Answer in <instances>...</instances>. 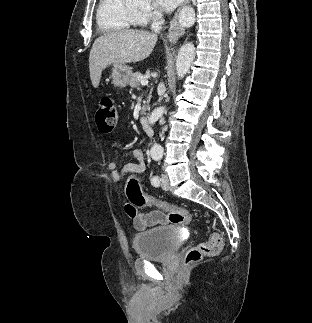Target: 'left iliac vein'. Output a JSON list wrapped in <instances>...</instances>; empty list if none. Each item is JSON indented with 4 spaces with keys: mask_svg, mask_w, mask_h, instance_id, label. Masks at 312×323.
I'll list each match as a JSON object with an SVG mask.
<instances>
[{
    "mask_svg": "<svg viewBox=\"0 0 312 323\" xmlns=\"http://www.w3.org/2000/svg\"><path fill=\"white\" fill-rule=\"evenodd\" d=\"M161 187L164 190H168L169 189V180H168V176L167 174H163L162 175V179H161Z\"/></svg>",
    "mask_w": 312,
    "mask_h": 323,
    "instance_id": "4c4485c4",
    "label": "left iliac vein"
}]
</instances>
